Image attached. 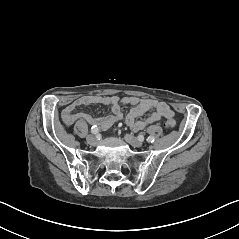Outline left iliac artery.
Returning a JSON list of instances; mask_svg holds the SVG:
<instances>
[{"mask_svg":"<svg viewBox=\"0 0 239 239\" xmlns=\"http://www.w3.org/2000/svg\"><path fill=\"white\" fill-rule=\"evenodd\" d=\"M154 140H155V138L153 137V136H149L148 138H147V141L150 143H152V142H154Z\"/></svg>","mask_w":239,"mask_h":239,"instance_id":"obj_1","label":"left iliac artery"}]
</instances>
